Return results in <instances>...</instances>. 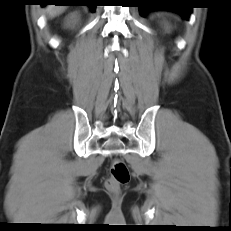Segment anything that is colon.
Instances as JSON below:
<instances>
[{
    "instance_id": "obj_1",
    "label": "colon",
    "mask_w": 231,
    "mask_h": 231,
    "mask_svg": "<svg viewBox=\"0 0 231 231\" xmlns=\"http://www.w3.org/2000/svg\"><path fill=\"white\" fill-rule=\"evenodd\" d=\"M130 180V172L126 164L115 159L110 167V176L105 181V187L111 192H118L122 185Z\"/></svg>"
}]
</instances>
